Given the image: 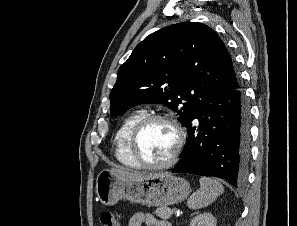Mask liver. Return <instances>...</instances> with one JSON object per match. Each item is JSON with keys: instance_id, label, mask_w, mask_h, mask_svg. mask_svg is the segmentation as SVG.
Wrapping results in <instances>:
<instances>
[{"instance_id": "6515ba94", "label": "liver", "mask_w": 297, "mask_h": 226, "mask_svg": "<svg viewBox=\"0 0 297 226\" xmlns=\"http://www.w3.org/2000/svg\"><path fill=\"white\" fill-rule=\"evenodd\" d=\"M110 171L114 172L120 178L129 179V180L144 179L155 175V174L147 175L139 172H129V171H124L120 169H110Z\"/></svg>"}]
</instances>
